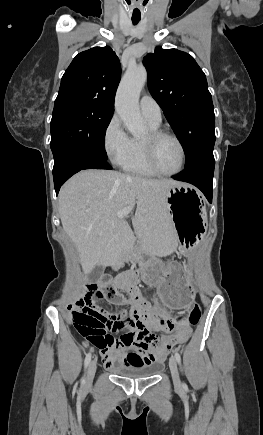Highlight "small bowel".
Listing matches in <instances>:
<instances>
[{"label":"small bowel","instance_id":"small-bowel-1","mask_svg":"<svg viewBox=\"0 0 263 435\" xmlns=\"http://www.w3.org/2000/svg\"><path fill=\"white\" fill-rule=\"evenodd\" d=\"M144 269L128 271L115 277L112 285L119 298L109 301L112 304H128L129 310H121L116 314H108L100 309L91 297H82L76 302L77 309L97 311L105 318L107 328L122 330L125 328H149L150 332L164 331L159 338L166 340L165 350H99L106 368L119 366H143L148 363L162 362L167 355H174L180 348L177 336L184 330H191V321H174L163 313L159 304H151L141 293L138 284L142 280ZM122 291L126 297H124Z\"/></svg>","mask_w":263,"mask_h":435}]
</instances>
